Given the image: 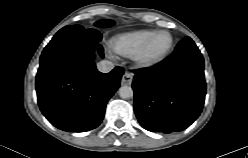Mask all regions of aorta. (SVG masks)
Here are the masks:
<instances>
[{
	"instance_id": "762f6f07",
	"label": "aorta",
	"mask_w": 248,
	"mask_h": 158,
	"mask_svg": "<svg viewBox=\"0 0 248 158\" xmlns=\"http://www.w3.org/2000/svg\"><path fill=\"white\" fill-rule=\"evenodd\" d=\"M119 96L123 99H128L133 97V89L130 86H121L119 88Z\"/></svg>"
}]
</instances>
